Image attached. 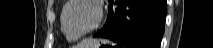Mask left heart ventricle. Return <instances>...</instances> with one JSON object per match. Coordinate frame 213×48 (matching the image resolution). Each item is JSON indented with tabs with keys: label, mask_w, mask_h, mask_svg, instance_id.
Returning a JSON list of instances; mask_svg holds the SVG:
<instances>
[{
	"label": "left heart ventricle",
	"mask_w": 213,
	"mask_h": 48,
	"mask_svg": "<svg viewBox=\"0 0 213 48\" xmlns=\"http://www.w3.org/2000/svg\"><path fill=\"white\" fill-rule=\"evenodd\" d=\"M97 17L94 6L86 2L72 5L66 14L67 28L73 33H82L91 28Z\"/></svg>",
	"instance_id": "left-heart-ventricle-1"
}]
</instances>
